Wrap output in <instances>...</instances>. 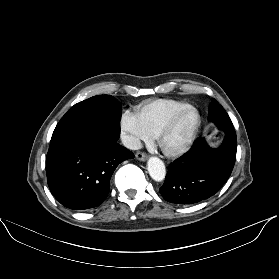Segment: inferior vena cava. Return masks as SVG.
<instances>
[{"label": "inferior vena cava", "instance_id": "obj_1", "mask_svg": "<svg viewBox=\"0 0 279 279\" xmlns=\"http://www.w3.org/2000/svg\"><path fill=\"white\" fill-rule=\"evenodd\" d=\"M121 140H122L123 145L128 149L138 150V149H141V147H142L140 140L134 136L125 134V135H122Z\"/></svg>", "mask_w": 279, "mask_h": 279}]
</instances>
